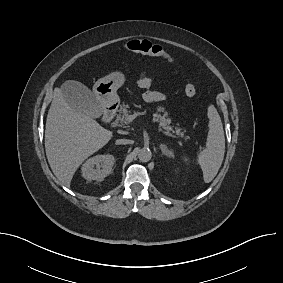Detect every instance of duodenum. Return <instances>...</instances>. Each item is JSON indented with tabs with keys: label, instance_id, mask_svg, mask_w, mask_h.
<instances>
[{
	"label": "duodenum",
	"instance_id": "1",
	"mask_svg": "<svg viewBox=\"0 0 283 283\" xmlns=\"http://www.w3.org/2000/svg\"><path fill=\"white\" fill-rule=\"evenodd\" d=\"M115 116V109L114 107H107L103 113V121L105 123H110Z\"/></svg>",
	"mask_w": 283,
	"mask_h": 283
}]
</instances>
